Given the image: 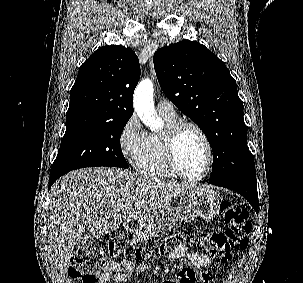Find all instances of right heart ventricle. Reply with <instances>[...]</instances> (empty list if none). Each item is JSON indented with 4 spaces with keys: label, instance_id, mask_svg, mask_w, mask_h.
Listing matches in <instances>:
<instances>
[{
    "label": "right heart ventricle",
    "instance_id": "right-heart-ventricle-1",
    "mask_svg": "<svg viewBox=\"0 0 303 283\" xmlns=\"http://www.w3.org/2000/svg\"><path fill=\"white\" fill-rule=\"evenodd\" d=\"M160 116L166 127L177 121L176 115L165 116L160 114ZM162 133L147 134L145 147L135 162L136 170L143 176L160 179L176 177L165 158Z\"/></svg>",
    "mask_w": 303,
    "mask_h": 283
}]
</instances>
